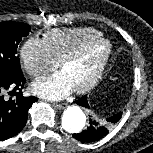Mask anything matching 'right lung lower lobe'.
Returning <instances> with one entry per match:
<instances>
[{
  "instance_id": "98d812e1",
  "label": "right lung lower lobe",
  "mask_w": 153,
  "mask_h": 153,
  "mask_svg": "<svg viewBox=\"0 0 153 153\" xmlns=\"http://www.w3.org/2000/svg\"><path fill=\"white\" fill-rule=\"evenodd\" d=\"M25 81L23 76L0 73V141L13 137L23 129L29 108L38 100L34 96L22 95ZM6 93L15 98L8 99Z\"/></svg>"
}]
</instances>
